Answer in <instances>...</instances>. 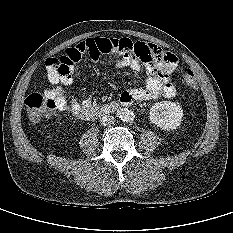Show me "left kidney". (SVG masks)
Here are the masks:
<instances>
[{
    "mask_svg": "<svg viewBox=\"0 0 233 233\" xmlns=\"http://www.w3.org/2000/svg\"><path fill=\"white\" fill-rule=\"evenodd\" d=\"M183 117L182 108L171 101L155 103L150 109V121L164 130H174L180 126Z\"/></svg>",
    "mask_w": 233,
    "mask_h": 233,
    "instance_id": "1",
    "label": "left kidney"
}]
</instances>
